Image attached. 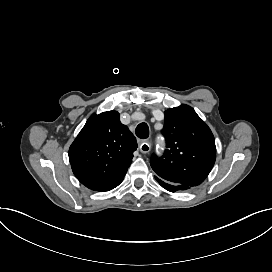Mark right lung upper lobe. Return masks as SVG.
<instances>
[{
  "label": "right lung upper lobe",
  "instance_id": "right-lung-upper-lobe-1",
  "mask_svg": "<svg viewBox=\"0 0 272 272\" xmlns=\"http://www.w3.org/2000/svg\"><path fill=\"white\" fill-rule=\"evenodd\" d=\"M137 142L117 111L93 114L69 149L74 175L87 188L109 191L117 187L132 162Z\"/></svg>",
  "mask_w": 272,
  "mask_h": 272
}]
</instances>
